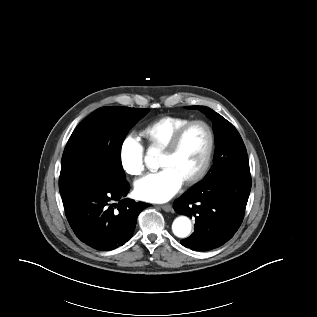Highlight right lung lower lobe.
<instances>
[{
	"label": "right lung lower lobe",
	"instance_id": "obj_1",
	"mask_svg": "<svg viewBox=\"0 0 317 317\" xmlns=\"http://www.w3.org/2000/svg\"><path fill=\"white\" fill-rule=\"evenodd\" d=\"M126 178L99 173L62 195L67 220L76 236L97 250H113L133 235L139 213L149 205L123 198ZM118 202V203H115Z\"/></svg>",
	"mask_w": 317,
	"mask_h": 317
}]
</instances>
